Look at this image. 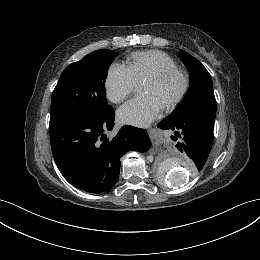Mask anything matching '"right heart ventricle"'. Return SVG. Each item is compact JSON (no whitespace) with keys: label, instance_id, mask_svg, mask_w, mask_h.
<instances>
[{"label":"right heart ventricle","instance_id":"1","mask_svg":"<svg viewBox=\"0 0 260 260\" xmlns=\"http://www.w3.org/2000/svg\"><path fill=\"white\" fill-rule=\"evenodd\" d=\"M127 68L136 83L171 68H178L177 62L168 54L159 50L135 52L127 60Z\"/></svg>","mask_w":260,"mask_h":260}]
</instances>
